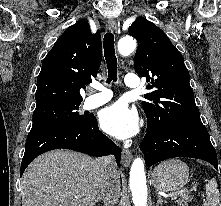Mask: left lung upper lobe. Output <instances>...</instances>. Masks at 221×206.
I'll list each match as a JSON object with an SVG mask.
<instances>
[{"mask_svg":"<svg viewBox=\"0 0 221 206\" xmlns=\"http://www.w3.org/2000/svg\"><path fill=\"white\" fill-rule=\"evenodd\" d=\"M138 41L134 68L152 90L142 102L150 132L171 127L203 126L196 107L189 72L178 49L152 22L137 19L129 27Z\"/></svg>","mask_w":221,"mask_h":206,"instance_id":"1","label":"left lung upper lobe"}]
</instances>
